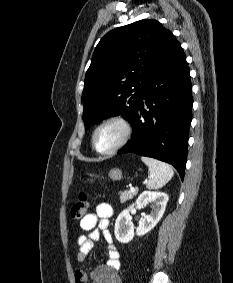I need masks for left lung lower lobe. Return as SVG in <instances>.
Returning a JSON list of instances; mask_svg holds the SVG:
<instances>
[{"instance_id": "left-lung-lower-lobe-1", "label": "left lung lower lobe", "mask_w": 233, "mask_h": 283, "mask_svg": "<svg viewBox=\"0 0 233 283\" xmlns=\"http://www.w3.org/2000/svg\"><path fill=\"white\" fill-rule=\"evenodd\" d=\"M192 106L190 72L178 42L146 82L130 121L134 133L118 154L134 152L167 162L183 180Z\"/></svg>"}]
</instances>
